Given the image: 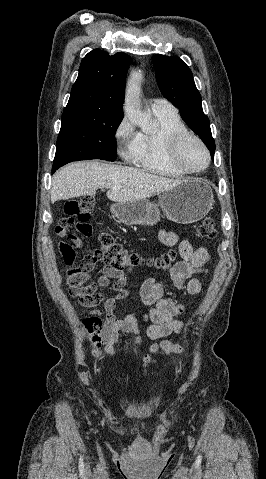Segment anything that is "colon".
<instances>
[{"label":"colon","mask_w":266,"mask_h":479,"mask_svg":"<svg viewBox=\"0 0 266 479\" xmlns=\"http://www.w3.org/2000/svg\"><path fill=\"white\" fill-rule=\"evenodd\" d=\"M95 207V198L90 195H85L79 198L70 199L64 206L65 216L59 221L56 227V233L62 237L69 236V231L74 228L78 233L89 236L93 232L92 226L89 224L91 213ZM197 234L204 239H214L217 235L215 228V221L211 217L204 218L197 229ZM98 242L103 254L104 260L110 267L118 270H129L140 263V258L129 252L122 244H120L114 236L109 232H101L98 235ZM59 252L64 258L67 265L73 267L76 271L71 281L70 294L77 298H82L87 301L90 306L102 303L105 296L98 290L96 283H84L82 275L86 271L84 261L80 264H75L76 251L68 242L62 241L59 243ZM176 261V253L169 251L156 260V265L161 269L171 268ZM101 284L105 281L101 280ZM116 287H120L119 282ZM183 348L177 342L162 341L155 344L151 348V354L144 358L145 366H150L154 363V356L159 353H173L180 354Z\"/></svg>","instance_id":"colon-1"}]
</instances>
